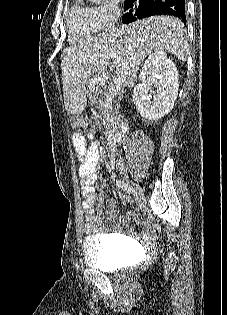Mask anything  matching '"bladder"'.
<instances>
[{
    "instance_id": "1",
    "label": "bladder",
    "mask_w": 227,
    "mask_h": 315,
    "mask_svg": "<svg viewBox=\"0 0 227 315\" xmlns=\"http://www.w3.org/2000/svg\"><path fill=\"white\" fill-rule=\"evenodd\" d=\"M131 246L130 240L116 235L86 237L83 245L85 265L103 271L126 267L124 261Z\"/></svg>"
}]
</instances>
